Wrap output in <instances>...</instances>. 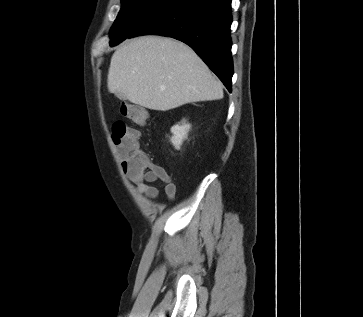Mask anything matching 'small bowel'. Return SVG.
<instances>
[{
  "mask_svg": "<svg viewBox=\"0 0 363 317\" xmlns=\"http://www.w3.org/2000/svg\"><path fill=\"white\" fill-rule=\"evenodd\" d=\"M145 159L143 168L139 170L132 169L131 167L124 168L129 180L135 185L136 191L148 198L157 199L159 197V190L157 187L150 185V183L161 181L165 185L167 197L172 200L176 192L174 182L164 168L155 165L146 156Z\"/></svg>",
  "mask_w": 363,
  "mask_h": 317,
  "instance_id": "small-bowel-1",
  "label": "small bowel"
}]
</instances>
